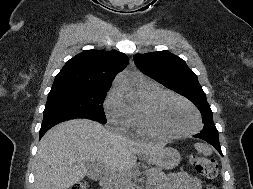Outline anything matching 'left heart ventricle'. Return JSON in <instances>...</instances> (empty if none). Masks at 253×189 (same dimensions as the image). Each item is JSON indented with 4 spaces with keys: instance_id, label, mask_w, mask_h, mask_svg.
I'll return each instance as SVG.
<instances>
[{
    "instance_id": "obj_1",
    "label": "left heart ventricle",
    "mask_w": 253,
    "mask_h": 189,
    "mask_svg": "<svg viewBox=\"0 0 253 189\" xmlns=\"http://www.w3.org/2000/svg\"><path fill=\"white\" fill-rule=\"evenodd\" d=\"M158 124L170 132H185L195 128L196 115L185 103L171 97L164 98L156 109Z\"/></svg>"
}]
</instances>
